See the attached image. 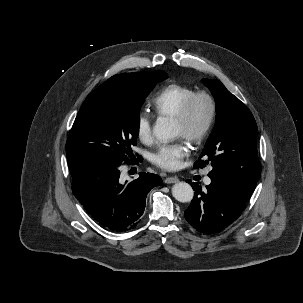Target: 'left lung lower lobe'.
Returning <instances> with one entry per match:
<instances>
[{"instance_id":"1","label":"left lung lower lobe","mask_w":303,"mask_h":303,"mask_svg":"<svg viewBox=\"0 0 303 303\" xmlns=\"http://www.w3.org/2000/svg\"><path fill=\"white\" fill-rule=\"evenodd\" d=\"M209 177L211 183L206 186V192L197 183L187 180L195 194L184 216L198 231L213 234L241 215L253 191L222 175L209 174Z\"/></svg>"}]
</instances>
